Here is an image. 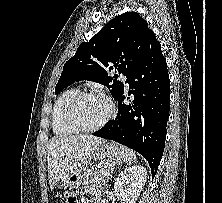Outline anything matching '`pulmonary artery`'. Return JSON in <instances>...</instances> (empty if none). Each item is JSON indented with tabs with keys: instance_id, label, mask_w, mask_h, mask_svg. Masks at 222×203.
Returning a JSON list of instances; mask_svg holds the SVG:
<instances>
[{
	"instance_id": "obj_1",
	"label": "pulmonary artery",
	"mask_w": 222,
	"mask_h": 203,
	"mask_svg": "<svg viewBox=\"0 0 222 203\" xmlns=\"http://www.w3.org/2000/svg\"><path fill=\"white\" fill-rule=\"evenodd\" d=\"M122 80L126 83V87H129V83L127 82L126 80V77L125 76H122Z\"/></svg>"
}]
</instances>
